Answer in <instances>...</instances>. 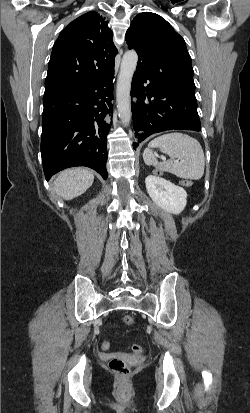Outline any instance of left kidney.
<instances>
[{
	"mask_svg": "<svg viewBox=\"0 0 250 413\" xmlns=\"http://www.w3.org/2000/svg\"><path fill=\"white\" fill-rule=\"evenodd\" d=\"M146 189L157 206L172 214L181 213L187 204L186 191L156 174L145 179Z\"/></svg>",
	"mask_w": 250,
	"mask_h": 413,
	"instance_id": "obj_1",
	"label": "left kidney"
}]
</instances>
